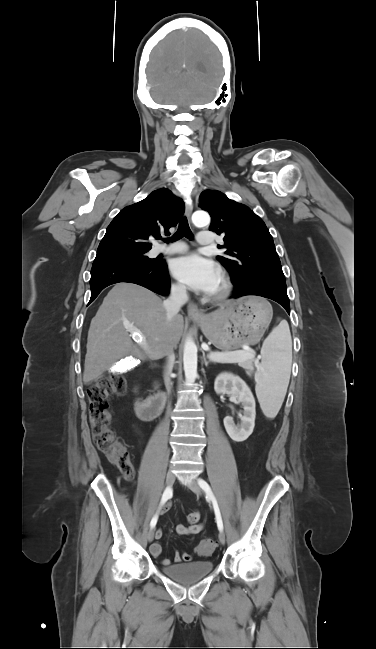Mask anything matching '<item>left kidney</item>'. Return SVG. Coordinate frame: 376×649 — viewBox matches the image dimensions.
Segmentation results:
<instances>
[{
    "label": "left kidney",
    "mask_w": 376,
    "mask_h": 649,
    "mask_svg": "<svg viewBox=\"0 0 376 649\" xmlns=\"http://www.w3.org/2000/svg\"><path fill=\"white\" fill-rule=\"evenodd\" d=\"M215 392L229 394L233 399L238 400L243 406L241 424L235 425L233 418L226 416L223 420L225 429L232 440L242 442L253 432L255 426V399L245 381L239 376L231 373H222L217 376L214 382Z\"/></svg>",
    "instance_id": "5707ae66"
}]
</instances>
